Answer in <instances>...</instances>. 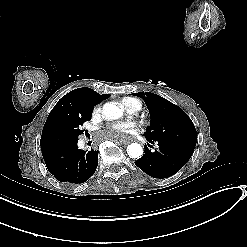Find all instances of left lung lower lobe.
I'll return each mask as SVG.
<instances>
[{"label": "left lung lower lobe", "mask_w": 247, "mask_h": 247, "mask_svg": "<svg viewBox=\"0 0 247 247\" xmlns=\"http://www.w3.org/2000/svg\"><path fill=\"white\" fill-rule=\"evenodd\" d=\"M154 144L155 141H149ZM159 148L154 152L148 150L135 162L146 174L154 178H167L177 173L190 159L194 149L167 142H157ZM148 146H150L148 144Z\"/></svg>", "instance_id": "0a47b994"}]
</instances>
